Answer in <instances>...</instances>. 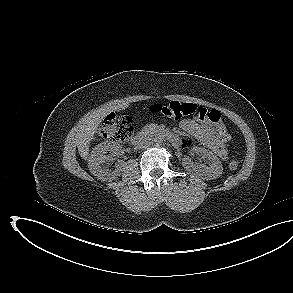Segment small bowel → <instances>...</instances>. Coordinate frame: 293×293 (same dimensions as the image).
Wrapping results in <instances>:
<instances>
[{
  "mask_svg": "<svg viewBox=\"0 0 293 293\" xmlns=\"http://www.w3.org/2000/svg\"><path fill=\"white\" fill-rule=\"evenodd\" d=\"M180 127L185 132L194 136L204 146L212 150L222 160L228 158V151L223 143L220 142L216 136L217 128L209 124L199 123L195 120L184 119L180 122ZM188 142H184L183 145H187Z\"/></svg>",
  "mask_w": 293,
  "mask_h": 293,
  "instance_id": "1",
  "label": "small bowel"
}]
</instances>
